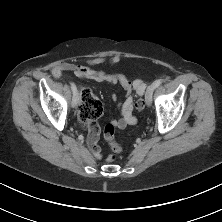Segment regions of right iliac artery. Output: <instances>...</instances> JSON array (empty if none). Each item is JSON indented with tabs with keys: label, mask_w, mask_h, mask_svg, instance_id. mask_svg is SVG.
I'll return each mask as SVG.
<instances>
[{
	"label": "right iliac artery",
	"mask_w": 222,
	"mask_h": 222,
	"mask_svg": "<svg viewBox=\"0 0 222 222\" xmlns=\"http://www.w3.org/2000/svg\"><path fill=\"white\" fill-rule=\"evenodd\" d=\"M70 84H71V89L73 91V94H75L77 92V88L74 83H70Z\"/></svg>",
	"instance_id": "obj_1"
}]
</instances>
